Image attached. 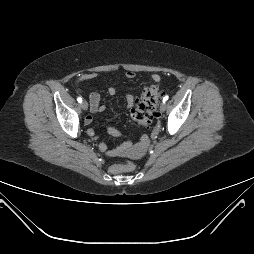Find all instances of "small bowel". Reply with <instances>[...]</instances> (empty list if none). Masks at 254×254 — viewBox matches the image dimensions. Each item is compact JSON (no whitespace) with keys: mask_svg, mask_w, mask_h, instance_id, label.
<instances>
[{"mask_svg":"<svg viewBox=\"0 0 254 254\" xmlns=\"http://www.w3.org/2000/svg\"><path fill=\"white\" fill-rule=\"evenodd\" d=\"M97 77L96 73H89V74H84L82 75L79 80L80 81H84V80H91ZM125 77L128 79H132L135 77V73L133 71H126L125 72ZM152 78L154 81L158 82L160 80L159 76L157 74L152 75ZM108 93L111 96H114L117 94V90L115 87H109L108 88ZM124 99L126 101V105L128 108H132L135 104V98L130 95V94H125L124 95ZM89 105H90V112L91 113H100L103 112L105 110L104 106L100 105V94L98 92H92L89 96ZM93 121V116L91 114L87 115L84 119L85 124L90 125ZM107 130L109 133L118 136L119 132L108 126ZM87 134L90 137L96 138V134L93 128H88L87 129ZM147 139L142 138L141 141L139 142V144L137 145H125L122 146L120 148L117 149H109L107 147V145L105 143H100L99 144V149L104 152L105 154L109 155V156H116L118 154H120L123 151H131V152H139L144 145L146 144Z\"/></svg>","mask_w":254,"mask_h":254,"instance_id":"c3829d8e","label":"small bowel"}]
</instances>
